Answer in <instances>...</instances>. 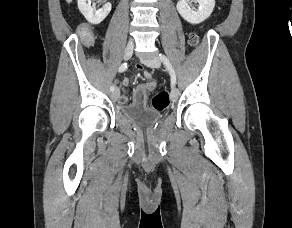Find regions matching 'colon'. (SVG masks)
Wrapping results in <instances>:
<instances>
[{
    "instance_id": "colon-1",
    "label": "colon",
    "mask_w": 292,
    "mask_h": 228,
    "mask_svg": "<svg viewBox=\"0 0 292 228\" xmlns=\"http://www.w3.org/2000/svg\"><path fill=\"white\" fill-rule=\"evenodd\" d=\"M79 35L86 44H91L93 42V35H92L91 30L88 27L86 26L80 27ZM197 43H198V36L197 35L191 36L190 44L196 45ZM151 103L154 109L164 110L169 106V103H170L169 94L166 91L158 92L152 97Z\"/></svg>"
}]
</instances>
